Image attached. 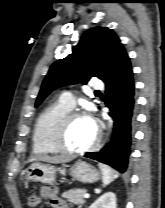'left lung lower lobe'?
<instances>
[{"mask_svg": "<svg viewBox=\"0 0 165 208\" xmlns=\"http://www.w3.org/2000/svg\"><path fill=\"white\" fill-rule=\"evenodd\" d=\"M107 107L114 119L110 141L101 151L86 153L85 157L107 164L120 173L128 169L131 145L136 125V99L133 72L128 55L114 74L104 81Z\"/></svg>", "mask_w": 165, "mask_h": 208, "instance_id": "0a47b994", "label": "left lung lower lobe"}]
</instances>
